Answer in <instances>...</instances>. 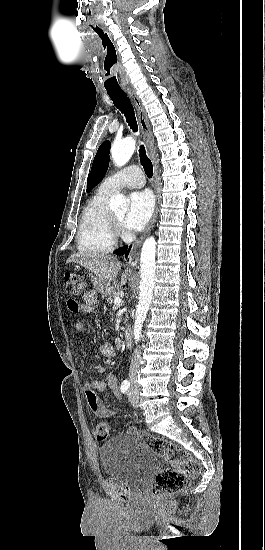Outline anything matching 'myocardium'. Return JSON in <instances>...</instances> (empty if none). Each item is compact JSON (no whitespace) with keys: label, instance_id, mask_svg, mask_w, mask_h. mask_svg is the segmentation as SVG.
I'll return each mask as SVG.
<instances>
[{"label":"myocardium","instance_id":"1","mask_svg":"<svg viewBox=\"0 0 265 550\" xmlns=\"http://www.w3.org/2000/svg\"><path fill=\"white\" fill-rule=\"evenodd\" d=\"M110 226L114 238L122 237L124 235V229L122 222L110 211Z\"/></svg>","mask_w":265,"mask_h":550}]
</instances>
